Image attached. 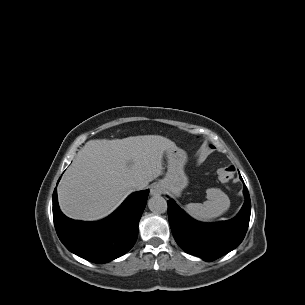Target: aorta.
<instances>
[{
  "mask_svg": "<svg viewBox=\"0 0 305 305\" xmlns=\"http://www.w3.org/2000/svg\"><path fill=\"white\" fill-rule=\"evenodd\" d=\"M148 207L155 214H163L167 211V202L161 196H153L148 200Z\"/></svg>",
  "mask_w": 305,
  "mask_h": 305,
  "instance_id": "aorta-1",
  "label": "aorta"
}]
</instances>
